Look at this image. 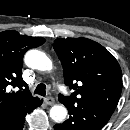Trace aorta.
<instances>
[{"label": "aorta", "mask_w": 130, "mask_h": 130, "mask_svg": "<svg viewBox=\"0 0 130 130\" xmlns=\"http://www.w3.org/2000/svg\"><path fill=\"white\" fill-rule=\"evenodd\" d=\"M25 64L36 70L51 71L53 68L52 61L42 51L32 49L29 50L24 57ZM67 116V109L63 105H54L50 109V117L53 121L61 123Z\"/></svg>", "instance_id": "762f6f07"}]
</instances>
